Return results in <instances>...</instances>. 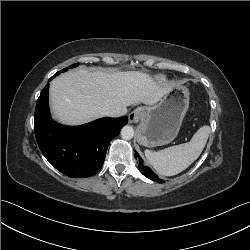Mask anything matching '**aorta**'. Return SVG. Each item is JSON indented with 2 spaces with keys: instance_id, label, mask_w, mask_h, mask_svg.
I'll list each match as a JSON object with an SVG mask.
<instances>
[{
  "instance_id": "aorta-1",
  "label": "aorta",
  "mask_w": 250,
  "mask_h": 250,
  "mask_svg": "<svg viewBox=\"0 0 250 250\" xmlns=\"http://www.w3.org/2000/svg\"><path fill=\"white\" fill-rule=\"evenodd\" d=\"M134 136V129L132 126L126 125L121 130V137L124 140H130Z\"/></svg>"
}]
</instances>
